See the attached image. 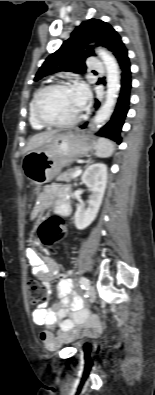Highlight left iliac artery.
<instances>
[{
	"label": "left iliac artery",
	"mask_w": 155,
	"mask_h": 395,
	"mask_svg": "<svg viewBox=\"0 0 155 395\" xmlns=\"http://www.w3.org/2000/svg\"><path fill=\"white\" fill-rule=\"evenodd\" d=\"M79 283L82 289L88 290L90 287V282L86 277H80Z\"/></svg>",
	"instance_id": "obj_1"
}]
</instances>
